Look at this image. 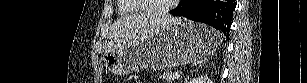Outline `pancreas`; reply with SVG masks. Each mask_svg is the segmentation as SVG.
<instances>
[{
  "mask_svg": "<svg viewBox=\"0 0 307 83\" xmlns=\"http://www.w3.org/2000/svg\"><path fill=\"white\" fill-rule=\"evenodd\" d=\"M173 75H174V72L166 71L162 73L161 78L166 80L167 82H173L174 81Z\"/></svg>",
  "mask_w": 307,
  "mask_h": 83,
  "instance_id": "cf45deb5",
  "label": "pancreas"
}]
</instances>
